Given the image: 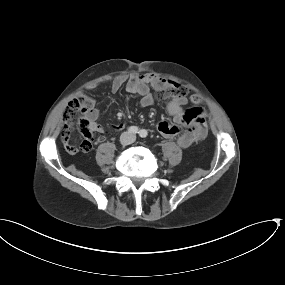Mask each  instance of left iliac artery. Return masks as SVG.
Returning <instances> with one entry per match:
<instances>
[{"instance_id":"left-iliac-artery-1","label":"left iliac artery","mask_w":285,"mask_h":285,"mask_svg":"<svg viewBox=\"0 0 285 285\" xmlns=\"http://www.w3.org/2000/svg\"><path fill=\"white\" fill-rule=\"evenodd\" d=\"M148 135L147 131L142 129L139 131V136L145 138Z\"/></svg>"}]
</instances>
